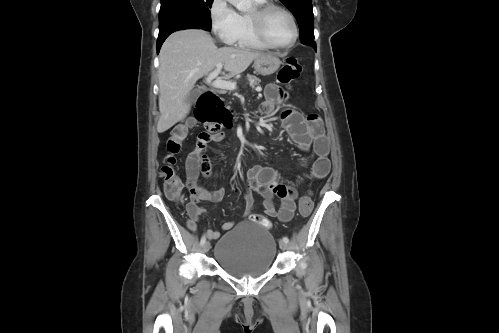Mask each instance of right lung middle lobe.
I'll use <instances>...</instances> for the list:
<instances>
[{"instance_id": "right-lung-middle-lobe-1", "label": "right lung middle lobe", "mask_w": 499, "mask_h": 333, "mask_svg": "<svg viewBox=\"0 0 499 333\" xmlns=\"http://www.w3.org/2000/svg\"><path fill=\"white\" fill-rule=\"evenodd\" d=\"M213 0H161L159 36L182 29L211 30Z\"/></svg>"}]
</instances>
